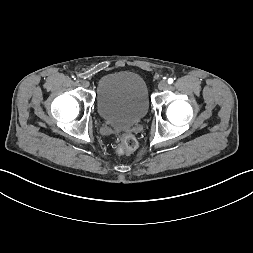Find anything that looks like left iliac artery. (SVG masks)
I'll return each instance as SVG.
<instances>
[{
  "label": "left iliac artery",
  "instance_id": "left-iliac-artery-1",
  "mask_svg": "<svg viewBox=\"0 0 253 253\" xmlns=\"http://www.w3.org/2000/svg\"><path fill=\"white\" fill-rule=\"evenodd\" d=\"M173 81H174L173 78H169V79H168V83H169V84H172Z\"/></svg>",
  "mask_w": 253,
  "mask_h": 253
}]
</instances>
